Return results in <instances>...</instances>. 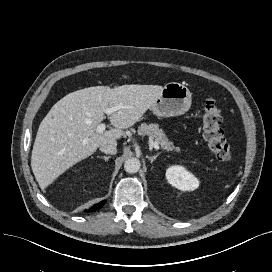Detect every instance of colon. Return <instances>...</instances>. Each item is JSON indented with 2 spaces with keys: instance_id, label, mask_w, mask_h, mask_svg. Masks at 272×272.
I'll list each match as a JSON object with an SVG mask.
<instances>
[{
  "instance_id": "colon-1",
  "label": "colon",
  "mask_w": 272,
  "mask_h": 272,
  "mask_svg": "<svg viewBox=\"0 0 272 272\" xmlns=\"http://www.w3.org/2000/svg\"><path fill=\"white\" fill-rule=\"evenodd\" d=\"M203 138L209 150L220 161H229L232 158V149L227 143L222 128L221 109L214 99H208L202 113Z\"/></svg>"
}]
</instances>
